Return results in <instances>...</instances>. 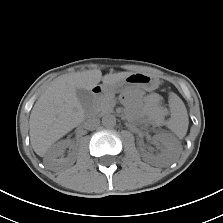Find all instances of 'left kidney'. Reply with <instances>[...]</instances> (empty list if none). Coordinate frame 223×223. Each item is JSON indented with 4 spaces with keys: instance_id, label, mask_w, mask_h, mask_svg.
I'll return each mask as SVG.
<instances>
[{
    "instance_id": "left-kidney-1",
    "label": "left kidney",
    "mask_w": 223,
    "mask_h": 223,
    "mask_svg": "<svg viewBox=\"0 0 223 223\" xmlns=\"http://www.w3.org/2000/svg\"><path fill=\"white\" fill-rule=\"evenodd\" d=\"M154 139L161 144V153L154 155L142 150L143 160L159 166H169L175 163L181 152L180 144L168 135H156Z\"/></svg>"
}]
</instances>
